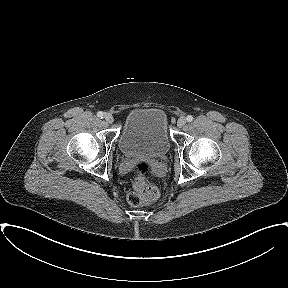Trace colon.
I'll return each mask as SVG.
<instances>
[{
	"label": "colon",
	"mask_w": 288,
	"mask_h": 288,
	"mask_svg": "<svg viewBox=\"0 0 288 288\" xmlns=\"http://www.w3.org/2000/svg\"><path fill=\"white\" fill-rule=\"evenodd\" d=\"M149 168L146 162L136 164L137 176L133 183V189L127 196V201L131 206L147 204L155 201L158 197L157 188L150 185L145 177Z\"/></svg>",
	"instance_id": "colon-1"
}]
</instances>
